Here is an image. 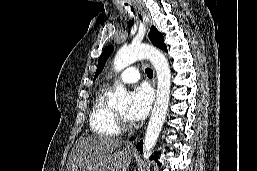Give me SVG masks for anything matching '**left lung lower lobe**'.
I'll use <instances>...</instances> for the list:
<instances>
[{
	"label": "left lung lower lobe",
	"mask_w": 257,
	"mask_h": 171,
	"mask_svg": "<svg viewBox=\"0 0 257 171\" xmlns=\"http://www.w3.org/2000/svg\"><path fill=\"white\" fill-rule=\"evenodd\" d=\"M132 140V139H131ZM137 150L140 151L142 153L143 151V143L142 141L140 143L137 144ZM157 158H158V155H154V156H151V159H155L157 161ZM158 164L160 165V163L158 162Z\"/></svg>",
	"instance_id": "obj_1"
}]
</instances>
